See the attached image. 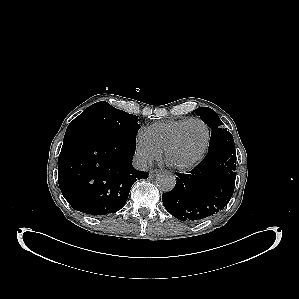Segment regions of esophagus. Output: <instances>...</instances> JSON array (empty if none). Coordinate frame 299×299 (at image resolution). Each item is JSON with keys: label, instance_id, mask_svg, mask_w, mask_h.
Instances as JSON below:
<instances>
[{"label": "esophagus", "instance_id": "34e87169", "mask_svg": "<svg viewBox=\"0 0 299 299\" xmlns=\"http://www.w3.org/2000/svg\"><path fill=\"white\" fill-rule=\"evenodd\" d=\"M159 171L158 170H151L149 172V178H154L156 175H158Z\"/></svg>", "mask_w": 299, "mask_h": 299}]
</instances>
